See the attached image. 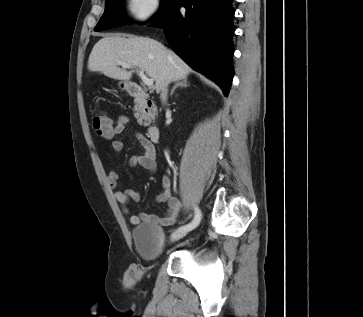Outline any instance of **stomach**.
Instances as JSON below:
<instances>
[{
	"label": "stomach",
	"instance_id": "0dacf381",
	"mask_svg": "<svg viewBox=\"0 0 363 317\" xmlns=\"http://www.w3.org/2000/svg\"><path fill=\"white\" fill-rule=\"evenodd\" d=\"M119 87H120V89L125 90L128 88V83L125 81H121V82H119Z\"/></svg>",
	"mask_w": 363,
	"mask_h": 317
}]
</instances>
